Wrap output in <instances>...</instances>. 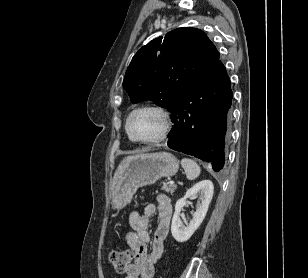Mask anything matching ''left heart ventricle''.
<instances>
[{
  "mask_svg": "<svg viewBox=\"0 0 308 278\" xmlns=\"http://www.w3.org/2000/svg\"><path fill=\"white\" fill-rule=\"evenodd\" d=\"M130 126L137 137L152 139L160 134L163 128V120L155 111L142 110L132 117Z\"/></svg>",
  "mask_w": 308,
  "mask_h": 278,
  "instance_id": "obj_1",
  "label": "left heart ventricle"
}]
</instances>
